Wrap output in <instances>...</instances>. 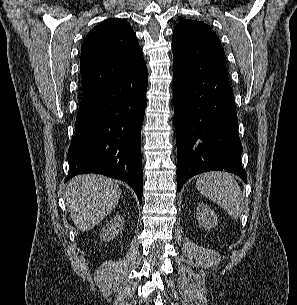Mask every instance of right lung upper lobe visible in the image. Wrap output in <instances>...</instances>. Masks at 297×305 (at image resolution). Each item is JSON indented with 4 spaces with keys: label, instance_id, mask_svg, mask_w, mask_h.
Instances as JSON below:
<instances>
[{
    "label": "right lung upper lobe",
    "instance_id": "right-lung-upper-lobe-1",
    "mask_svg": "<svg viewBox=\"0 0 297 305\" xmlns=\"http://www.w3.org/2000/svg\"><path fill=\"white\" fill-rule=\"evenodd\" d=\"M145 65L130 24L109 19L94 27L81 47L82 95L125 78Z\"/></svg>",
    "mask_w": 297,
    "mask_h": 305
}]
</instances>
